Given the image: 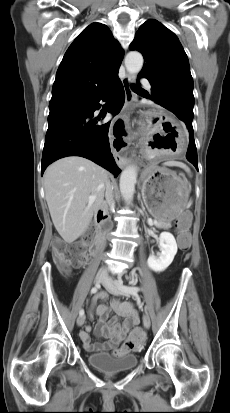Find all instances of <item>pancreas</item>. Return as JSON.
<instances>
[{"mask_svg": "<svg viewBox=\"0 0 230 413\" xmlns=\"http://www.w3.org/2000/svg\"><path fill=\"white\" fill-rule=\"evenodd\" d=\"M156 227L158 228H164V229H169L171 228V221H164V222H156L155 223Z\"/></svg>", "mask_w": 230, "mask_h": 413, "instance_id": "pancreas-1", "label": "pancreas"}]
</instances>
